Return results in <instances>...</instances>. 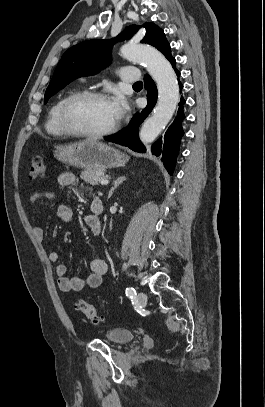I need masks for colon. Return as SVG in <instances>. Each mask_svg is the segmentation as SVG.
I'll return each mask as SVG.
<instances>
[{"label":"colon","instance_id":"colon-1","mask_svg":"<svg viewBox=\"0 0 265 407\" xmlns=\"http://www.w3.org/2000/svg\"><path fill=\"white\" fill-rule=\"evenodd\" d=\"M44 171L45 169L42 158L40 156H34L31 159L29 168L30 177L32 179L40 178L44 175ZM74 307L93 323H99L103 320V317L99 314L98 310L84 299H76L74 301Z\"/></svg>","mask_w":265,"mask_h":407}]
</instances>
